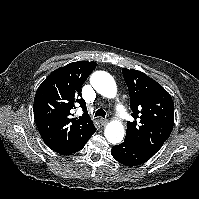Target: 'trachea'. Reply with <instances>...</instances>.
I'll use <instances>...</instances> for the list:
<instances>
[{
	"mask_svg": "<svg viewBox=\"0 0 199 199\" xmlns=\"http://www.w3.org/2000/svg\"><path fill=\"white\" fill-rule=\"evenodd\" d=\"M97 116H101V117L105 118L106 113H105V111H104L103 109H98V110L95 112V117H97Z\"/></svg>",
	"mask_w": 199,
	"mask_h": 199,
	"instance_id": "1",
	"label": "trachea"
}]
</instances>
